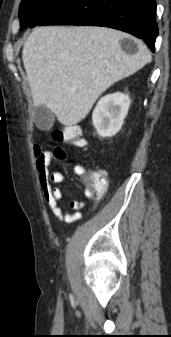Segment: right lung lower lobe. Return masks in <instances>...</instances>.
Listing matches in <instances>:
<instances>
[{
  "label": "right lung lower lobe",
  "mask_w": 171,
  "mask_h": 337,
  "mask_svg": "<svg viewBox=\"0 0 171 337\" xmlns=\"http://www.w3.org/2000/svg\"><path fill=\"white\" fill-rule=\"evenodd\" d=\"M39 25H95L144 40L154 52L158 35L155 0H67Z\"/></svg>",
  "instance_id": "obj_1"
}]
</instances>
